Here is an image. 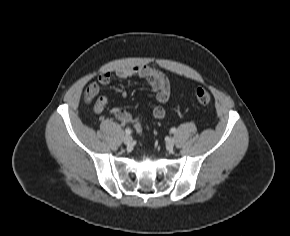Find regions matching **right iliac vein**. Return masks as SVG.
Listing matches in <instances>:
<instances>
[{"instance_id":"1","label":"right iliac vein","mask_w":290,"mask_h":236,"mask_svg":"<svg viewBox=\"0 0 290 236\" xmlns=\"http://www.w3.org/2000/svg\"><path fill=\"white\" fill-rule=\"evenodd\" d=\"M123 142H124L125 145L131 146L132 143H133V139H132V137L130 135H125L123 137Z\"/></svg>"}]
</instances>
